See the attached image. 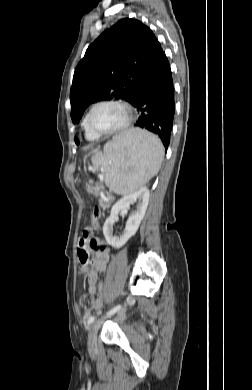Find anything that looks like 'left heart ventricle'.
I'll list each match as a JSON object with an SVG mask.
<instances>
[{
    "instance_id": "left-heart-ventricle-1",
    "label": "left heart ventricle",
    "mask_w": 252,
    "mask_h": 390,
    "mask_svg": "<svg viewBox=\"0 0 252 390\" xmlns=\"http://www.w3.org/2000/svg\"><path fill=\"white\" fill-rule=\"evenodd\" d=\"M125 119L124 111L116 105H102L92 115V126L100 131L118 127Z\"/></svg>"
}]
</instances>
